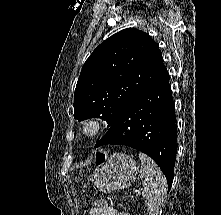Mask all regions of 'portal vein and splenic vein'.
<instances>
[{
	"instance_id": "18ae733b",
	"label": "portal vein and splenic vein",
	"mask_w": 221,
	"mask_h": 215,
	"mask_svg": "<svg viewBox=\"0 0 221 215\" xmlns=\"http://www.w3.org/2000/svg\"><path fill=\"white\" fill-rule=\"evenodd\" d=\"M138 193H139V190H136V191H135V194H138Z\"/></svg>"
}]
</instances>
